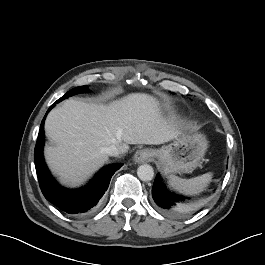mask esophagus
I'll return each instance as SVG.
<instances>
[{
  "label": "esophagus",
  "mask_w": 265,
  "mask_h": 265,
  "mask_svg": "<svg viewBox=\"0 0 265 265\" xmlns=\"http://www.w3.org/2000/svg\"><path fill=\"white\" fill-rule=\"evenodd\" d=\"M151 157L152 151L150 149H141L135 153L133 160L135 163H144L150 161Z\"/></svg>",
  "instance_id": "esophagus-1"
}]
</instances>
